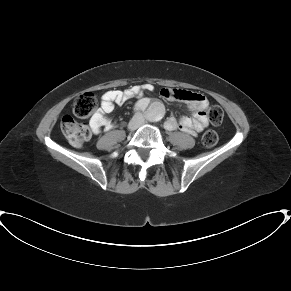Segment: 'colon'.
<instances>
[{"label":"colon","instance_id":"colon-1","mask_svg":"<svg viewBox=\"0 0 291 291\" xmlns=\"http://www.w3.org/2000/svg\"><path fill=\"white\" fill-rule=\"evenodd\" d=\"M98 101L91 92L81 94L73 104V114L76 118H87L97 108ZM208 119L211 123L218 125L223 120V110L217 104H212L206 110ZM61 131L63 135L75 146H81L91 138V129L78 123L73 117H64L61 121ZM218 135L214 131L206 132L202 137V143L206 147H212L217 143Z\"/></svg>","mask_w":291,"mask_h":291}]
</instances>
